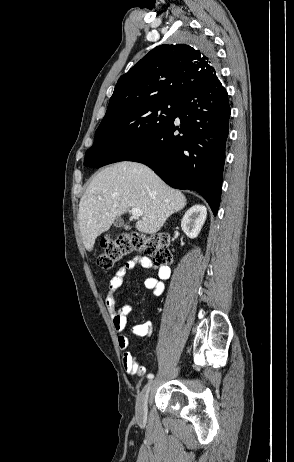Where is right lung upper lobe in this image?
Returning <instances> with one entry per match:
<instances>
[{"mask_svg":"<svg viewBox=\"0 0 294 462\" xmlns=\"http://www.w3.org/2000/svg\"><path fill=\"white\" fill-rule=\"evenodd\" d=\"M217 74L214 52L186 44L157 46L119 78L106 115L156 97H183Z\"/></svg>","mask_w":294,"mask_h":462,"instance_id":"1","label":"right lung upper lobe"}]
</instances>
